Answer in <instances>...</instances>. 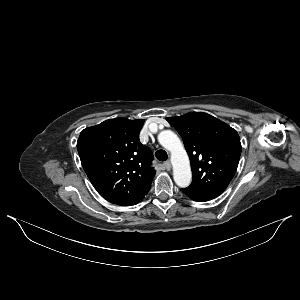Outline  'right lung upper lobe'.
Here are the masks:
<instances>
[{
    "mask_svg": "<svg viewBox=\"0 0 300 300\" xmlns=\"http://www.w3.org/2000/svg\"><path fill=\"white\" fill-rule=\"evenodd\" d=\"M143 124L141 119L115 118L80 133L77 150L84 171L111 203L146 194L151 188L153 153L140 143Z\"/></svg>",
    "mask_w": 300,
    "mask_h": 300,
    "instance_id": "cb5924a9",
    "label": "right lung upper lobe"
}]
</instances>
